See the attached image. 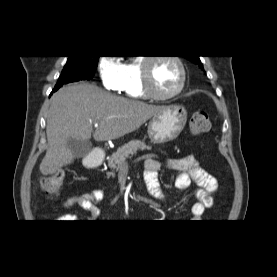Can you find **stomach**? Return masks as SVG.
Segmentation results:
<instances>
[{
    "label": "stomach",
    "instance_id": "stomach-1",
    "mask_svg": "<svg viewBox=\"0 0 277 277\" xmlns=\"http://www.w3.org/2000/svg\"><path fill=\"white\" fill-rule=\"evenodd\" d=\"M187 121V111L182 105L165 106L164 110L153 116L148 125V136L154 144L175 140Z\"/></svg>",
    "mask_w": 277,
    "mask_h": 277
}]
</instances>
